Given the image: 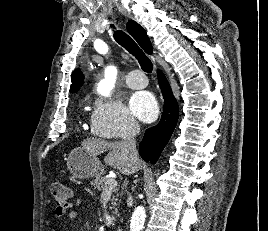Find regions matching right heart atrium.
Wrapping results in <instances>:
<instances>
[{
  "mask_svg": "<svg viewBox=\"0 0 268 231\" xmlns=\"http://www.w3.org/2000/svg\"><path fill=\"white\" fill-rule=\"evenodd\" d=\"M90 125L92 133L104 139L128 138L137 122L119 99L96 98Z\"/></svg>",
  "mask_w": 268,
  "mask_h": 231,
  "instance_id": "d8ad5b80",
  "label": "right heart atrium"
}]
</instances>
